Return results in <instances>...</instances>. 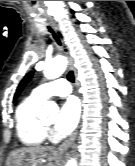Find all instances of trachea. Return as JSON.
I'll list each match as a JSON object with an SVG mask.
<instances>
[{
  "instance_id": "1",
  "label": "trachea",
  "mask_w": 135,
  "mask_h": 166,
  "mask_svg": "<svg viewBox=\"0 0 135 166\" xmlns=\"http://www.w3.org/2000/svg\"><path fill=\"white\" fill-rule=\"evenodd\" d=\"M48 30L53 34L54 39H55L56 42L60 45L61 43H60V40H59L58 36H57L56 34H54V32H53L49 27H48ZM67 79H68L70 82L74 83L75 77H74L73 71H70V72L68 73Z\"/></svg>"
}]
</instances>
